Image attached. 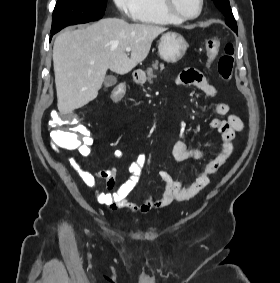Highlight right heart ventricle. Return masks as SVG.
I'll list each match as a JSON object with an SVG mask.
<instances>
[{
	"instance_id": "obj_1",
	"label": "right heart ventricle",
	"mask_w": 280,
	"mask_h": 283,
	"mask_svg": "<svg viewBox=\"0 0 280 283\" xmlns=\"http://www.w3.org/2000/svg\"><path fill=\"white\" fill-rule=\"evenodd\" d=\"M133 18L139 23L149 25H176L182 22L166 11L163 0H138Z\"/></svg>"
}]
</instances>
